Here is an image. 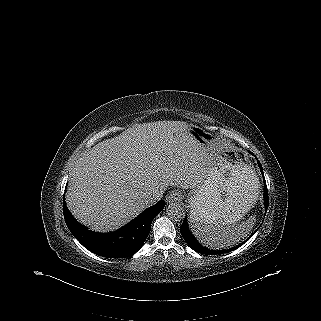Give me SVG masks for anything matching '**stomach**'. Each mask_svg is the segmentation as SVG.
I'll list each match as a JSON object with an SVG mask.
<instances>
[{"label": "stomach", "mask_w": 321, "mask_h": 321, "mask_svg": "<svg viewBox=\"0 0 321 321\" xmlns=\"http://www.w3.org/2000/svg\"><path fill=\"white\" fill-rule=\"evenodd\" d=\"M190 134L207 150L208 172L193 189L188 202L190 221L235 224L255 204L259 180L241 153L225 149L215 134L189 124ZM215 218V219H214Z\"/></svg>", "instance_id": "1"}]
</instances>
